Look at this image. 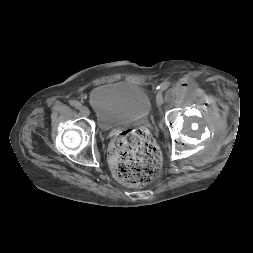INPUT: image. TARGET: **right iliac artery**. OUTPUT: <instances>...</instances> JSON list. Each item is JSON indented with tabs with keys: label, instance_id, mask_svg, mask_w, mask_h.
Wrapping results in <instances>:
<instances>
[{
	"label": "right iliac artery",
	"instance_id": "82829eb1",
	"mask_svg": "<svg viewBox=\"0 0 253 253\" xmlns=\"http://www.w3.org/2000/svg\"><path fill=\"white\" fill-rule=\"evenodd\" d=\"M72 104L76 109H80L82 107V104L79 101H73Z\"/></svg>",
	"mask_w": 253,
	"mask_h": 253
}]
</instances>
